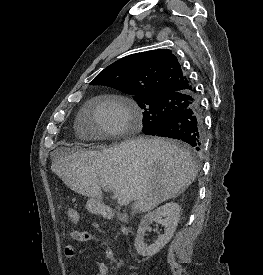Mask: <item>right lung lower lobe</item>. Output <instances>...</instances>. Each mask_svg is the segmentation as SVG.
I'll list each match as a JSON object with an SVG mask.
<instances>
[{
  "label": "right lung lower lobe",
  "mask_w": 263,
  "mask_h": 275,
  "mask_svg": "<svg viewBox=\"0 0 263 275\" xmlns=\"http://www.w3.org/2000/svg\"><path fill=\"white\" fill-rule=\"evenodd\" d=\"M193 97L192 106L145 133L178 139L188 143L194 150L201 151L204 142V120L199 100L195 95Z\"/></svg>",
  "instance_id": "right-lung-lower-lobe-1"
}]
</instances>
